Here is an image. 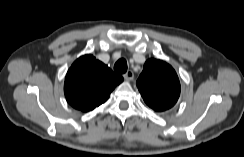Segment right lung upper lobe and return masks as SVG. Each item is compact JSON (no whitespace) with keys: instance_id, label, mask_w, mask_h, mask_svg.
<instances>
[{"instance_id":"1","label":"right lung upper lobe","mask_w":244,"mask_h":157,"mask_svg":"<svg viewBox=\"0 0 244 157\" xmlns=\"http://www.w3.org/2000/svg\"><path fill=\"white\" fill-rule=\"evenodd\" d=\"M123 77L92 55L78 58L67 72L64 92L75 109L88 112L104 103Z\"/></svg>"}]
</instances>
